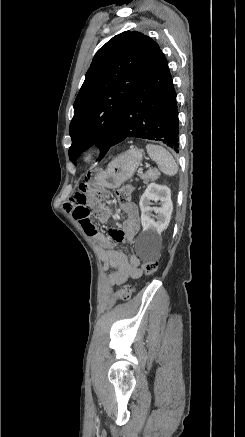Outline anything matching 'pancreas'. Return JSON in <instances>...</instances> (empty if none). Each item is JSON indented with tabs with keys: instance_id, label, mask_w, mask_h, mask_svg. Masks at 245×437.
<instances>
[{
	"instance_id": "pancreas-1",
	"label": "pancreas",
	"mask_w": 245,
	"mask_h": 437,
	"mask_svg": "<svg viewBox=\"0 0 245 437\" xmlns=\"http://www.w3.org/2000/svg\"><path fill=\"white\" fill-rule=\"evenodd\" d=\"M160 173L156 169H149L145 174L140 175V178L143 179L144 183H148L149 181H154L158 179Z\"/></svg>"
}]
</instances>
